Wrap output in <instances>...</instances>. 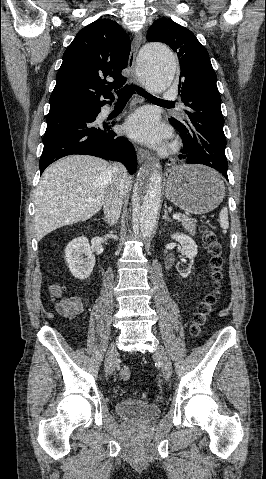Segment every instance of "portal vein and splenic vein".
I'll list each match as a JSON object with an SVG mask.
<instances>
[{
  "instance_id": "portal-vein-and-splenic-vein-1",
  "label": "portal vein and splenic vein",
  "mask_w": 266,
  "mask_h": 479,
  "mask_svg": "<svg viewBox=\"0 0 266 479\" xmlns=\"http://www.w3.org/2000/svg\"><path fill=\"white\" fill-rule=\"evenodd\" d=\"M93 200L91 198L87 199V202H92ZM180 215L179 214H174L173 219H179Z\"/></svg>"
}]
</instances>
